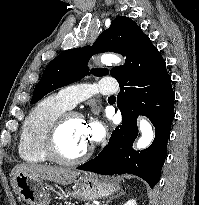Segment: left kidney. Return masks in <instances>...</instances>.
Here are the masks:
<instances>
[{
  "label": "left kidney",
  "mask_w": 199,
  "mask_h": 205,
  "mask_svg": "<svg viewBox=\"0 0 199 205\" xmlns=\"http://www.w3.org/2000/svg\"><path fill=\"white\" fill-rule=\"evenodd\" d=\"M124 205H137V203H136L135 199H131V200L127 201Z\"/></svg>",
  "instance_id": "obj_1"
}]
</instances>
